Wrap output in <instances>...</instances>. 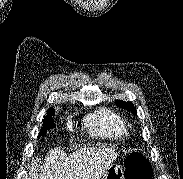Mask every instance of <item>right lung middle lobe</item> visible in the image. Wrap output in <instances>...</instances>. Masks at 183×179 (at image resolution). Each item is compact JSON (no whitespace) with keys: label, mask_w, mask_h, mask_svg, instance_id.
Returning a JSON list of instances; mask_svg holds the SVG:
<instances>
[{"label":"right lung middle lobe","mask_w":183,"mask_h":179,"mask_svg":"<svg viewBox=\"0 0 183 179\" xmlns=\"http://www.w3.org/2000/svg\"><path fill=\"white\" fill-rule=\"evenodd\" d=\"M54 113V109H49V111L47 112L48 115L43 120V125L38 135V138H40V136H43L47 132V130L54 126V120L52 119Z\"/></svg>","instance_id":"obj_1"}]
</instances>
